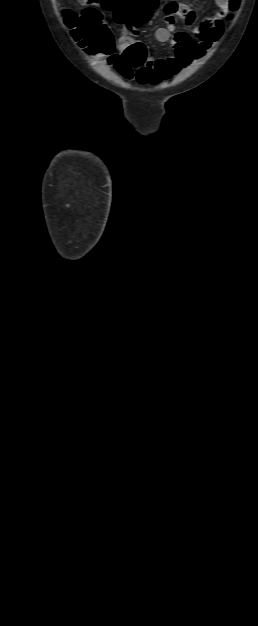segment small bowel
I'll return each instance as SVG.
<instances>
[{
    "instance_id": "1",
    "label": "small bowel",
    "mask_w": 258,
    "mask_h": 626,
    "mask_svg": "<svg viewBox=\"0 0 258 626\" xmlns=\"http://www.w3.org/2000/svg\"><path fill=\"white\" fill-rule=\"evenodd\" d=\"M218 12L194 28L193 33L176 31V22L182 20L187 29L194 27L195 12L187 5L170 1L164 6L165 26L155 32L157 41L172 42L174 54L164 59H147L134 71L125 58L126 50L134 44H122L120 53L108 54V62L126 80H136L145 85H157L178 74L193 61L202 58L220 39L224 29V18L229 10V0H214ZM115 18L117 16L115 14ZM174 34V35H173Z\"/></svg>"
}]
</instances>
